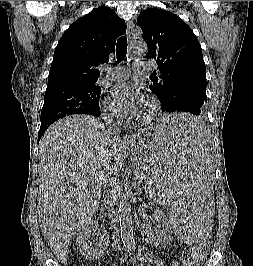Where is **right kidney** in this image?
Segmentation results:
<instances>
[{
  "instance_id": "right-kidney-1",
  "label": "right kidney",
  "mask_w": 253,
  "mask_h": 266,
  "mask_svg": "<svg viewBox=\"0 0 253 266\" xmlns=\"http://www.w3.org/2000/svg\"><path fill=\"white\" fill-rule=\"evenodd\" d=\"M79 252L89 260L99 259L108 247L109 237L106 229L95 220H88L77 233Z\"/></svg>"
}]
</instances>
